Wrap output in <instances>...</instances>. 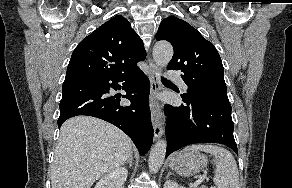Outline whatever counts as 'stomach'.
Segmentation results:
<instances>
[{"instance_id": "0dacf381", "label": "stomach", "mask_w": 292, "mask_h": 188, "mask_svg": "<svg viewBox=\"0 0 292 188\" xmlns=\"http://www.w3.org/2000/svg\"><path fill=\"white\" fill-rule=\"evenodd\" d=\"M208 159L198 151H181L169 159V167L178 174L189 177L207 166Z\"/></svg>"}]
</instances>
